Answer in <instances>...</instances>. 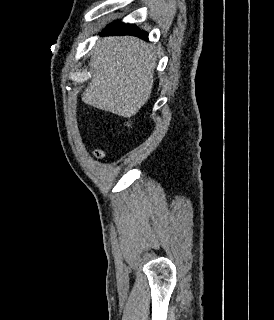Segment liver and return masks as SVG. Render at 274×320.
I'll return each mask as SVG.
<instances>
[{
    "mask_svg": "<svg viewBox=\"0 0 274 320\" xmlns=\"http://www.w3.org/2000/svg\"><path fill=\"white\" fill-rule=\"evenodd\" d=\"M91 58L92 78L82 102L122 118L135 116L152 94L153 46L134 36H109L100 38Z\"/></svg>",
    "mask_w": 274,
    "mask_h": 320,
    "instance_id": "1",
    "label": "liver"
}]
</instances>
